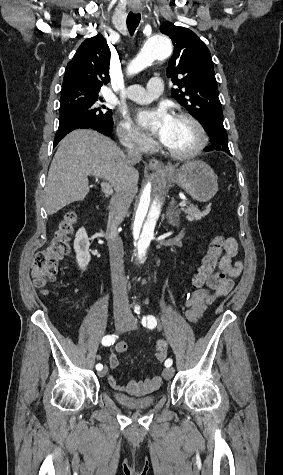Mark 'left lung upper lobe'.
<instances>
[{"label":"left lung upper lobe","instance_id":"obj_1","mask_svg":"<svg viewBox=\"0 0 283 475\" xmlns=\"http://www.w3.org/2000/svg\"><path fill=\"white\" fill-rule=\"evenodd\" d=\"M160 31L168 35L174 45L167 76L172 78L179 89H172V96L188 109L203 127L208 122L222 121V106L218 98L209 49L187 28L164 22Z\"/></svg>","mask_w":283,"mask_h":475}]
</instances>
